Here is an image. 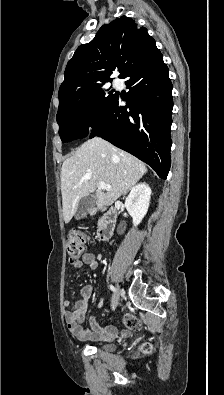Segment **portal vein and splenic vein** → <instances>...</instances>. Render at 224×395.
Masks as SVG:
<instances>
[{"mask_svg": "<svg viewBox=\"0 0 224 395\" xmlns=\"http://www.w3.org/2000/svg\"><path fill=\"white\" fill-rule=\"evenodd\" d=\"M98 187H99L100 189L106 190V191L111 190V186H110V185H107V184L104 183V182H99V183H98Z\"/></svg>", "mask_w": 224, "mask_h": 395, "instance_id": "obj_1", "label": "portal vein and splenic vein"}]
</instances>
